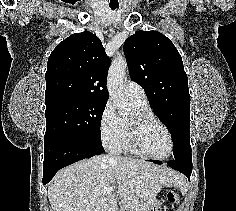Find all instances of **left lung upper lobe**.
<instances>
[{
  "instance_id": "obj_1",
  "label": "left lung upper lobe",
  "mask_w": 236,
  "mask_h": 211,
  "mask_svg": "<svg viewBox=\"0 0 236 211\" xmlns=\"http://www.w3.org/2000/svg\"><path fill=\"white\" fill-rule=\"evenodd\" d=\"M124 53L130 78L172 135L174 158L192 159L188 79L178 50L158 31H137L126 39Z\"/></svg>"
}]
</instances>
